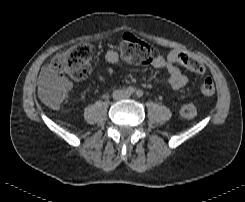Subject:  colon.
I'll list each match as a JSON object with an SVG mask.
<instances>
[{
    "label": "colon",
    "mask_w": 245,
    "mask_h": 202,
    "mask_svg": "<svg viewBox=\"0 0 245 202\" xmlns=\"http://www.w3.org/2000/svg\"><path fill=\"white\" fill-rule=\"evenodd\" d=\"M94 51V46L90 43L73 45L52 58V71L74 81H80L91 71ZM120 54L127 63L137 65L154 61L158 56V50L141 38L127 35L120 40ZM176 60L194 73L200 74L204 71L203 63L187 52L179 51ZM214 92L215 86L212 79L205 78L201 84L202 95L212 96ZM42 98L50 107H58L67 100L68 94L60 86H52L42 91ZM196 114V107L192 103L184 104L181 108V115L185 119H192Z\"/></svg>",
    "instance_id": "1"
}]
</instances>
